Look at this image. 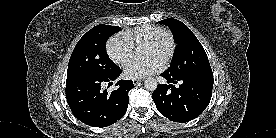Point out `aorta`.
I'll use <instances>...</instances> for the list:
<instances>
[{"instance_id": "762f6f07", "label": "aorta", "mask_w": 276, "mask_h": 138, "mask_svg": "<svg viewBox=\"0 0 276 138\" xmlns=\"http://www.w3.org/2000/svg\"><path fill=\"white\" fill-rule=\"evenodd\" d=\"M157 80L155 78H147L144 82V86L147 90L154 91L157 88Z\"/></svg>"}]
</instances>
